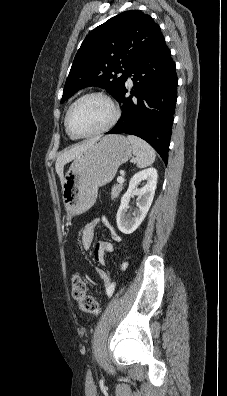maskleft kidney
Masks as SVG:
<instances>
[{
  "label": "left kidney",
  "mask_w": 227,
  "mask_h": 396,
  "mask_svg": "<svg viewBox=\"0 0 227 396\" xmlns=\"http://www.w3.org/2000/svg\"><path fill=\"white\" fill-rule=\"evenodd\" d=\"M157 177L158 174L155 168H147L135 173L131 178L129 188L121 198V204L116 216L118 229L122 233H133L145 219L154 198ZM141 182H144L142 188L137 189ZM135 192L139 194L136 203L138 208L132 217L127 215L126 211L129 208L130 198Z\"/></svg>",
  "instance_id": "obj_1"
}]
</instances>
